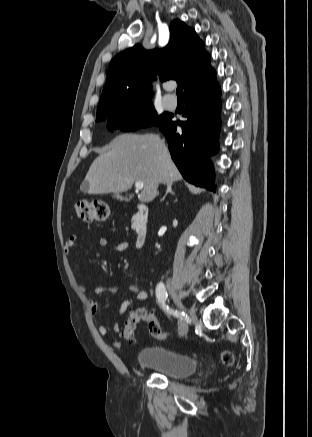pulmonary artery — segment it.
Listing matches in <instances>:
<instances>
[{"label":"pulmonary artery","instance_id":"1","mask_svg":"<svg viewBox=\"0 0 312 437\" xmlns=\"http://www.w3.org/2000/svg\"><path fill=\"white\" fill-rule=\"evenodd\" d=\"M166 92L169 91V87H165ZM163 103L165 107L169 110H174L177 106V101L173 96L165 94L163 97Z\"/></svg>","mask_w":312,"mask_h":437}]
</instances>
